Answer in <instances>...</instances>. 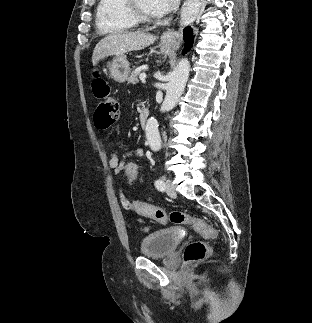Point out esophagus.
<instances>
[{
	"mask_svg": "<svg viewBox=\"0 0 312 323\" xmlns=\"http://www.w3.org/2000/svg\"><path fill=\"white\" fill-rule=\"evenodd\" d=\"M162 40L171 48H179L182 42V30H167L162 35Z\"/></svg>",
	"mask_w": 312,
	"mask_h": 323,
	"instance_id": "obj_1",
	"label": "esophagus"
}]
</instances>
